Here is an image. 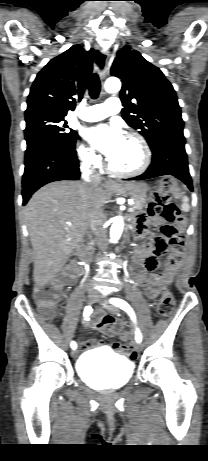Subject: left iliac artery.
<instances>
[{
	"instance_id": "44dca946",
	"label": "left iliac artery",
	"mask_w": 208,
	"mask_h": 461,
	"mask_svg": "<svg viewBox=\"0 0 208 461\" xmlns=\"http://www.w3.org/2000/svg\"><path fill=\"white\" fill-rule=\"evenodd\" d=\"M110 302L113 305L118 306L121 309H123L124 311H126L130 315L131 319L136 323L135 313H134V311L132 310V308L130 307V305L127 302H125L122 299H118V298H112V299H110ZM135 339H136V341L138 343H140L142 341V335H141L138 328L136 329Z\"/></svg>"
}]
</instances>
